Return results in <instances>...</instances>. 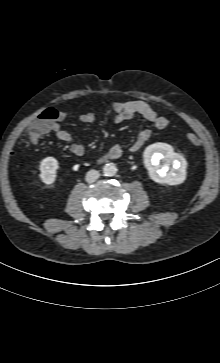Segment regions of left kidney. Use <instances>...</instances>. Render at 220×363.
<instances>
[{
    "label": "left kidney",
    "instance_id": "left-kidney-1",
    "mask_svg": "<svg viewBox=\"0 0 220 363\" xmlns=\"http://www.w3.org/2000/svg\"><path fill=\"white\" fill-rule=\"evenodd\" d=\"M143 157L145 167L153 181L168 185H177L185 181L187 162L174 152L171 145L161 142L151 144L146 147ZM161 159L167 164L171 163L173 169L169 171L167 165L160 166Z\"/></svg>",
    "mask_w": 220,
    "mask_h": 363
}]
</instances>
